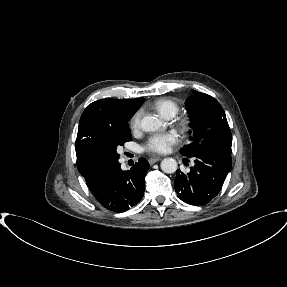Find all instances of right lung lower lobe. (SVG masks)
<instances>
[{
  "label": "right lung lower lobe",
  "instance_id": "98d812e1",
  "mask_svg": "<svg viewBox=\"0 0 287 287\" xmlns=\"http://www.w3.org/2000/svg\"><path fill=\"white\" fill-rule=\"evenodd\" d=\"M150 168L140 158L128 171L117 161L102 164L86 179V184L98 202L113 212H124L136 205L144 195L145 174Z\"/></svg>",
  "mask_w": 287,
  "mask_h": 287
}]
</instances>
